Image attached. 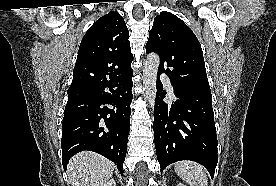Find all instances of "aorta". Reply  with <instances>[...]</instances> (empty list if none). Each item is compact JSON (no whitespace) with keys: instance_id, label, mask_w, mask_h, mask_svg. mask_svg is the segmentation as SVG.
I'll use <instances>...</instances> for the list:
<instances>
[{"instance_id":"1","label":"aorta","mask_w":276,"mask_h":186,"mask_svg":"<svg viewBox=\"0 0 276 186\" xmlns=\"http://www.w3.org/2000/svg\"><path fill=\"white\" fill-rule=\"evenodd\" d=\"M160 63L159 55L150 53L145 61L143 70V84L145 87V98L147 99L150 107L153 109L155 105L156 92H157V72Z\"/></svg>"}]
</instances>
